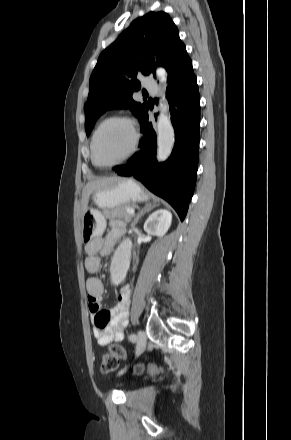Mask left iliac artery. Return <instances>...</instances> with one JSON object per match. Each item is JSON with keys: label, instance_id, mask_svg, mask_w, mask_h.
I'll return each instance as SVG.
<instances>
[{"label": "left iliac artery", "instance_id": "obj_1", "mask_svg": "<svg viewBox=\"0 0 291 440\" xmlns=\"http://www.w3.org/2000/svg\"><path fill=\"white\" fill-rule=\"evenodd\" d=\"M129 340L132 341V342H135V341H136V335L133 334V333H131V334L129 335Z\"/></svg>", "mask_w": 291, "mask_h": 440}]
</instances>
